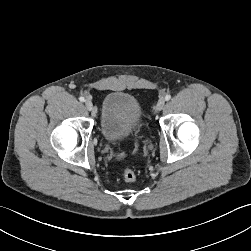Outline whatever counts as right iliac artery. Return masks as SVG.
<instances>
[{"mask_svg":"<svg viewBox=\"0 0 251 251\" xmlns=\"http://www.w3.org/2000/svg\"><path fill=\"white\" fill-rule=\"evenodd\" d=\"M79 100H80V102H84L85 98L81 96V97H79Z\"/></svg>","mask_w":251,"mask_h":251,"instance_id":"82829eb1","label":"right iliac artery"}]
</instances>
